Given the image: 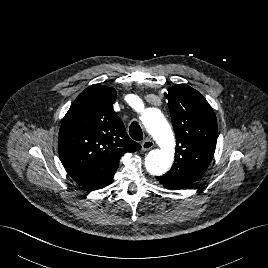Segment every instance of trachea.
<instances>
[{
    "instance_id": "trachea-1",
    "label": "trachea",
    "mask_w": 268,
    "mask_h": 268,
    "mask_svg": "<svg viewBox=\"0 0 268 268\" xmlns=\"http://www.w3.org/2000/svg\"><path fill=\"white\" fill-rule=\"evenodd\" d=\"M129 134L135 141L143 140V132L138 122L133 121L129 127Z\"/></svg>"
}]
</instances>
